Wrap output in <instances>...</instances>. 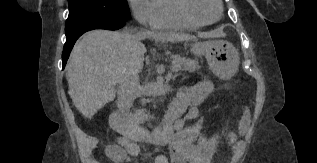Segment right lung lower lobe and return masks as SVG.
I'll list each match as a JSON object with an SVG mask.
<instances>
[{
    "mask_svg": "<svg viewBox=\"0 0 317 163\" xmlns=\"http://www.w3.org/2000/svg\"><path fill=\"white\" fill-rule=\"evenodd\" d=\"M125 25V21L122 20H100L95 23H92L88 26L80 28L70 34L66 35V43L64 45L62 61H63V69L66 65L67 59L70 55V52L76 42V40L86 31L93 29H109V30H117L122 28Z\"/></svg>",
    "mask_w": 317,
    "mask_h": 163,
    "instance_id": "98d812e1",
    "label": "right lung lower lobe"
}]
</instances>
